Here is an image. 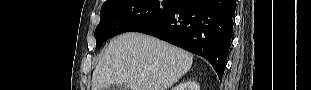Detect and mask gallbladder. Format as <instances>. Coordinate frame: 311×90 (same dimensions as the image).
Returning <instances> with one entry per match:
<instances>
[{
	"label": "gallbladder",
	"instance_id": "1",
	"mask_svg": "<svg viewBox=\"0 0 311 90\" xmlns=\"http://www.w3.org/2000/svg\"><path fill=\"white\" fill-rule=\"evenodd\" d=\"M109 90H127V87L121 84V85L113 86L112 88H109Z\"/></svg>",
	"mask_w": 311,
	"mask_h": 90
}]
</instances>
